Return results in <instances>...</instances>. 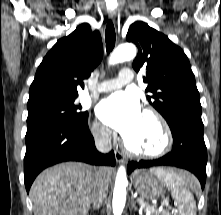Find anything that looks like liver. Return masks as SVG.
I'll list each match as a JSON object with an SVG mask.
<instances>
[{"label": "liver", "instance_id": "obj_1", "mask_svg": "<svg viewBox=\"0 0 221 215\" xmlns=\"http://www.w3.org/2000/svg\"><path fill=\"white\" fill-rule=\"evenodd\" d=\"M92 166L67 162L44 170L30 189L34 215H87L95 189ZM106 184L112 168H101Z\"/></svg>", "mask_w": 221, "mask_h": 215}]
</instances>
